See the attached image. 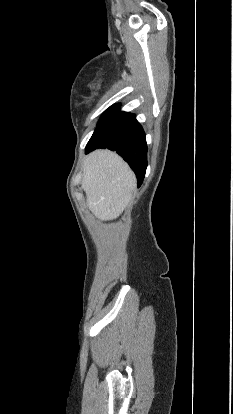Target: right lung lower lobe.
Instances as JSON below:
<instances>
[{"label":"right lung lower lobe","mask_w":233,"mask_h":414,"mask_svg":"<svg viewBox=\"0 0 233 414\" xmlns=\"http://www.w3.org/2000/svg\"><path fill=\"white\" fill-rule=\"evenodd\" d=\"M98 148L116 151L135 172L140 187L147 167V144L134 114L120 111L117 105L108 109L98 122L85 153Z\"/></svg>","instance_id":"right-lung-lower-lobe-1"}]
</instances>
